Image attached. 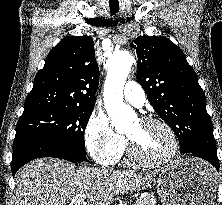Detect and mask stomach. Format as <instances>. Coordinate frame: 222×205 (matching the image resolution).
<instances>
[{"mask_svg":"<svg viewBox=\"0 0 222 205\" xmlns=\"http://www.w3.org/2000/svg\"><path fill=\"white\" fill-rule=\"evenodd\" d=\"M156 186L162 205H211L217 188L213 168L193 158L163 168Z\"/></svg>","mask_w":222,"mask_h":205,"instance_id":"stomach-1","label":"stomach"}]
</instances>
